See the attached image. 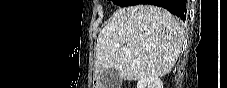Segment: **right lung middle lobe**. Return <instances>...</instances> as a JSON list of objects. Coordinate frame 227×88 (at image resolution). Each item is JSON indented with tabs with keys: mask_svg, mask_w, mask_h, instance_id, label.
<instances>
[{
	"mask_svg": "<svg viewBox=\"0 0 227 88\" xmlns=\"http://www.w3.org/2000/svg\"><path fill=\"white\" fill-rule=\"evenodd\" d=\"M114 4H117L119 6H124V5H135L140 2V0H112Z\"/></svg>",
	"mask_w": 227,
	"mask_h": 88,
	"instance_id": "obj_1",
	"label": "right lung middle lobe"
}]
</instances>
